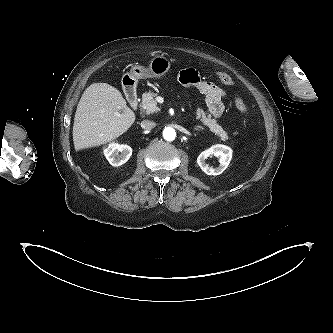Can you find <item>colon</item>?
Instances as JSON below:
<instances>
[{"instance_id":"colon-1","label":"colon","mask_w":333,"mask_h":333,"mask_svg":"<svg viewBox=\"0 0 333 333\" xmlns=\"http://www.w3.org/2000/svg\"><path fill=\"white\" fill-rule=\"evenodd\" d=\"M217 76H218V79L223 84H225V85H232L233 84V79L229 74L224 73V72H219L217 74ZM235 106L243 115L248 114V108H247L246 104L244 103V101L240 97H237L235 99Z\"/></svg>"}]
</instances>
